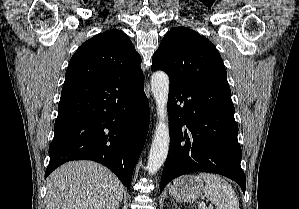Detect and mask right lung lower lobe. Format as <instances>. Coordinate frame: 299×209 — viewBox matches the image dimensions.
Listing matches in <instances>:
<instances>
[{
  "mask_svg": "<svg viewBox=\"0 0 299 209\" xmlns=\"http://www.w3.org/2000/svg\"><path fill=\"white\" fill-rule=\"evenodd\" d=\"M149 120L143 79L135 84L117 77L65 84L45 178L65 162L88 159L108 167L130 190Z\"/></svg>",
  "mask_w": 299,
  "mask_h": 209,
  "instance_id": "1",
  "label": "right lung lower lobe"
}]
</instances>
